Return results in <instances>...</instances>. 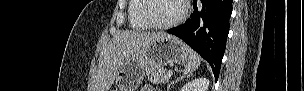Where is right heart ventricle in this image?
<instances>
[{"instance_id":"right-heart-ventricle-1","label":"right heart ventricle","mask_w":304,"mask_h":91,"mask_svg":"<svg viewBox=\"0 0 304 91\" xmlns=\"http://www.w3.org/2000/svg\"><path fill=\"white\" fill-rule=\"evenodd\" d=\"M141 0H130L128 5V22L129 26L134 30H147L149 26L141 17Z\"/></svg>"}]
</instances>
